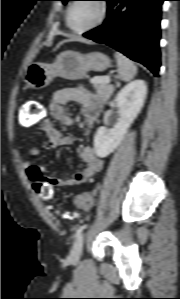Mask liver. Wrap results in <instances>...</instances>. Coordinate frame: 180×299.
<instances>
[{
	"mask_svg": "<svg viewBox=\"0 0 180 299\" xmlns=\"http://www.w3.org/2000/svg\"><path fill=\"white\" fill-rule=\"evenodd\" d=\"M74 40H76V38L64 39L63 41L59 42L56 47L58 48L62 44L66 43V42H71V41H74Z\"/></svg>",
	"mask_w": 180,
	"mask_h": 299,
	"instance_id": "liver-1",
	"label": "liver"
}]
</instances>
